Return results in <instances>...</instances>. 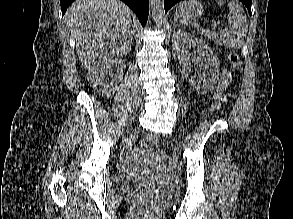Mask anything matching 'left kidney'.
<instances>
[{
    "label": "left kidney",
    "mask_w": 293,
    "mask_h": 219,
    "mask_svg": "<svg viewBox=\"0 0 293 219\" xmlns=\"http://www.w3.org/2000/svg\"><path fill=\"white\" fill-rule=\"evenodd\" d=\"M197 46L199 54L208 61L207 78L196 79L191 69L189 58L187 57L188 47ZM172 47L175 58L182 65V70L189 84L198 94H206L211 91L216 84L220 73V62L217 55L202 40L194 38L185 31H177L173 34Z\"/></svg>",
    "instance_id": "5707ae66"
}]
</instances>
